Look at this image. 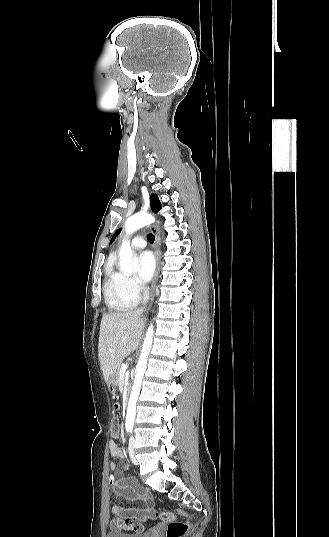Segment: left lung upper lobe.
Here are the masks:
<instances>
[{"label": "left lung upper lobe", "instance_id": "left-lung-upper-lobe-1", "mask_svg": "<svg viewBox=\"0 0 329 537\" xmlns=\"http://www.w3.org/2000/svg\"><path fill=\"white\" fill-rule=\"evenodd\" d=\"M151 205H152V210L154 212H158L160 209H161V203L158 199V196L157 194H152L151 195ZM119 230H117L114 235L112 236L111 238V241H110V244L112 243V241L115 239L116 235L118 234Z\"/></svg>", "mask_w": 329, "mask_h": 537}]
</instances>
